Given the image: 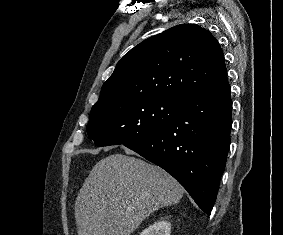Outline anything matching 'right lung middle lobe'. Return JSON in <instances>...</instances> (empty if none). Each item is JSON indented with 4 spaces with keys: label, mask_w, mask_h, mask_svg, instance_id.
I'll return each mask as SVG.
<instances>
[{
    "label": "right lung middle lobe",
    "mask_w": 283,
    "mask_h": 235,
    "mask_svg": "<svg viewBox=\"0 0 283 235\" xmlns=\"http://www.w3.org/2000/svg\"><path fill=\"white\" fill-rule=\"evenodd\" d=\"M179 100L170 97H130L94 106L87 124L88 136L97 146L127 144L166 125Z\"/></svg>",
    "instance_id": "obj_1"
}]
</instances>
